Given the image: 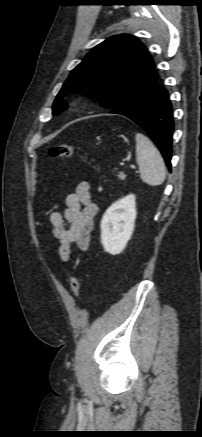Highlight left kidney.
<instances>
[{
  "label": "left kidney",
  "mask_w": 202,
  "mask_h": 437,
  "mask_svg": "<svg viewBox=\"0 0 202 437\" xmlns=\"http://www.w3.org/2000/svg\"><path fill=\"white\" fill-rule=\"evenodd\" d=\"M135 195L130 194L112 204L101 220V243L106 252L120 254L130 240L135 226Z\"/></svg>",
  "instance_id": "left-kidney-1"
}]
</instances>
